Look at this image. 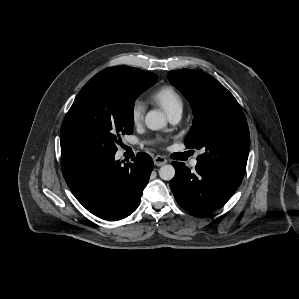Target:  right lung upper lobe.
<instances>
[{
    "label": "right lung upper lobe",
    "mask_w": 299,
    "mask_h": 299,
    "mask_svg": "<svg viewBox=\"0 0 299 299\" xmlns=\"http://www.w3.org/2000/svg\"><path fill=\"white\" fill-rule=\"evenodd\" d=\"M107 69H113L118 70L122 72L127 78H129L131 81L135 82H152L157 81L158 76L151 72H146L137 68L132 67H126V66H120V67H111ZM105 69V70H107Z\"/></svg>",
    "instance_id": "obj_1"
}]
</instances>
